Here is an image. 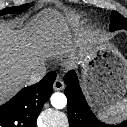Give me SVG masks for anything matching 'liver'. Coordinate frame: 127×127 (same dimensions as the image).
<instances>
[{
    "label": "liver",
    "mask_w": 127,
    "mask_h": 127,
    "mask_svg": "<svg viewBox=\"0 0 127 127\" xmlns=\"http://www.w3.org/2000/svg\"><path fill=\"white\" fill-rule=\"evenodd\" d=\"M62 20L58 12L48 10L31 22L30 27L14 29L8 23H0V104L29 85L31 73L44 65L47 51L60 44L50 33L62 24ZM66 41L61 45L62 51L74 57L76 45L80 43L76 41L73 46L69 38Z\"/></svg>",
    "instance_id": "6515ba94"
}]
</instances>
